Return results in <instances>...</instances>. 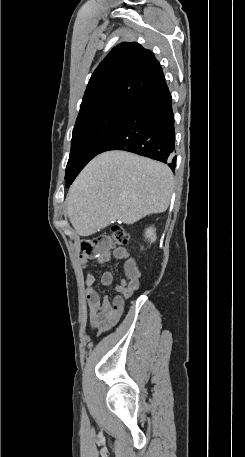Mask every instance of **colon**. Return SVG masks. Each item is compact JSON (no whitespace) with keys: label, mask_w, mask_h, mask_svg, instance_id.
Returning a JSON list of instances; mask_svg holds the SVG:
<instances>
[{"label":"colon","mask_w":245,"mask_h":457,"mask_svg":"<svg viewBox=\"0 0 245 457\" xmlns=\"http://www.w3.org/2000/svg\"><path fill=\"white\" fill-rule=\"evenodd\" d=\"M128 234L123 227L114 225L110 233H102L84 240L81 244L80 257L89 259L110 252L115 247L126 245Z\"/></svg>","instance_id":"colon-1"}]
</instances>
